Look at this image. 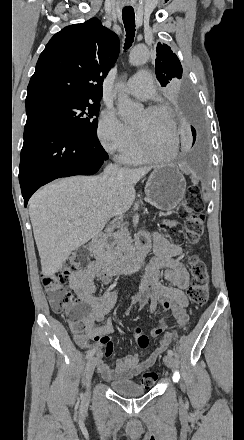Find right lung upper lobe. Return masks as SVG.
<instances>
[{
  "label": "right lung upper lobe",
  "instance_id": "1",
  "mask_svg": "<svg viewBox=\"0 0 244 440\" xmlns=\"http://www.w3.org/2000/svg\"><path fill=\"white\" fill-rule=\"evenodd\" d=\"M119 47L117 35L97 18L65 27L41 53L26 99L45 95L101 99L104 77Z\"/></svg>",
  "mask_w": 244,
  "mask_h": 440
}]
</instances>
